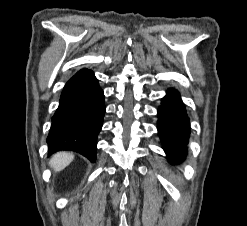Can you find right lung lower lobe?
<instances>
[{"label":"right lung lower lobe","mask_w":247,"mask_h":226,"mask_svg":"<svg viewBox=\"0 0 247 226\" xmlns=\"http://www.w3.org/2000/svg\"><path fill=\"white\" fill-rule=\"evenodd\" d=\"M105 113L104 94L94 73L81 69L64 86L47 137L49 154L71 150L96 160L97 135Z\"/></svg>","instance_id":"obj_1"}]
</instances>
